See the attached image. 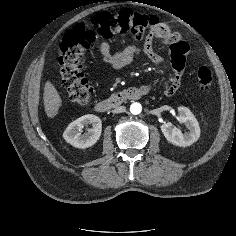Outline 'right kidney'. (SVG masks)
I'll list each match as a JSON object with an SVG mask.
<instances>
[{"mask_svg": "<svg viewBox=\"0 0 236 236\" xmlns=\"http://www.w3.org/2000/svg\"><path fill=\"white\" fill-rule=\"evenodd\" d=\"M92 124L88 132L82 134L84 126ZM102 123L98 116L93 114L84 115L71 122L63 133V138L72 146L84 149L93 146L100 138Z\"/></svg>", "mask_w": 236, "mask_h": 236, "instance_id": "right-kidney-1", "label": "right kidney"}]
</instances>
